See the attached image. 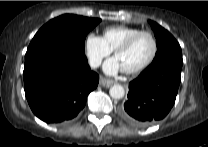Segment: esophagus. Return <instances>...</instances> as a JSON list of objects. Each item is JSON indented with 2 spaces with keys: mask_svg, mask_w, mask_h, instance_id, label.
<instances>
[{
  "mask_svg": "<svg viewBox=\"0 0 208 147\" xmlns=\"http://www.w3.org/2000/svg\"><path fill=\"white\" fill-rule=\"evenodd\" d=\"M100 84H101L103 87H110L112 84H114V81L102 77V78L100 79Z\"/></svg>",
  "mask_w": 208,
  "mask_h": 147,
  "instance_id": "esophagus-1",
  "label": "esophagus"
}]
</instances>
